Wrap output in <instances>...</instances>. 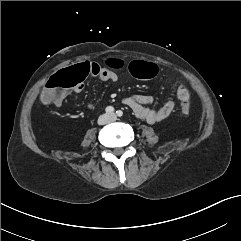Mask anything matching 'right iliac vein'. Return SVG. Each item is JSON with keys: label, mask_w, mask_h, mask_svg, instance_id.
<instances>
[{"label": "right iliac vein", "mask_w": 241, "mask_h": 241, "mask_svg": "<svg viewBox=\"0 0 241 241\" xmlns=\"http://www.w3.org/2000/svg\"><path fill=\"white\" fill-rule=\"evenodd\" d=\"M106 121H107V118L104 117V116L99 119V123H100V124H103V123H105Z\"/></svg>", "instance_id": "63e3f726"}]
</instances>
